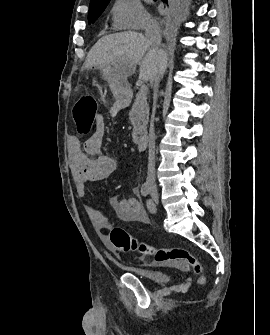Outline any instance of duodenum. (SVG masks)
Segmentation results:
<instances>
[{
    "mask_svg": "<svg viewBox=\"0 0 270 335\" xmlns=\"http://www.w3.org/2000/svg\"><path fill=\"white\" fill-rule=\"evenodd\" d=\"M135 144L140 151H145L147 148V137L144 135L137 136Z\"/></svg>",
    "mask_w": 270,
    "mask_h": 335,
    "instance_id": "duodenum-1",
    "label": "duodenum"
}]
</instances>
